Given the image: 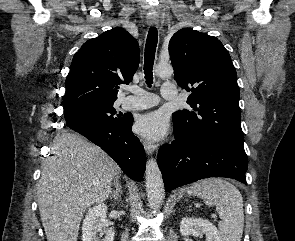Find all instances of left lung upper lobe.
Wrapping results in <instances>:
<instances>
[{
  "label": "left lung upper lobe",
  "mask_w": 295,
  "mask_h": 241,
  "mask_svg": "<svg viewBox=\"0 0 295 241\" xmlns=\"http://www.w3.org/2000/svg\"><path fill=\"white\" fill-rule=\"evenodd\" d=\"M179 86L192 92L187 109L173 113V123L185 141L221 139L243 146L237 74L230 55L213 36L184 28L169 43Z\"/></svg>",
  "instance_id": "1"
}]
</instances>
